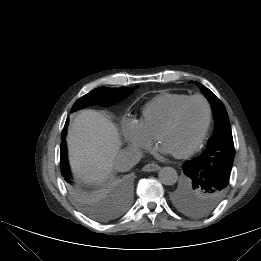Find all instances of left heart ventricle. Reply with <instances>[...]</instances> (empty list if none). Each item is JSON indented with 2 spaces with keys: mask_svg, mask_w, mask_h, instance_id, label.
Here are the masks:
<instances>
[{
  "mask_svg": "<svg viewBox=\"0 0 261 261\" xmlns=\"http://www.w3.org/2000/svg\"><path fill=\"white\" fill-rule=\"evenodd\" d=\"M206 121V107L200 100L189 102L181 111L176 123L167 130L160 143L173 153L192 145L203 130Z\"/></svg>",
  "mask_w": 261,
  "mask_h": 261,
  "instance_id": "b2bd125f",
  "label": "left heart ventricle"
}]
</instances>
